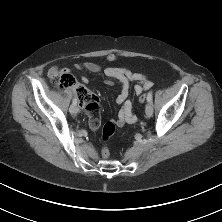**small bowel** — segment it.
<instances>
[{"label":"small bowel","mask_w":222,"mask_h":222,"mask_svg":"<svg viewBox=\"0 0 222 222\" xmlns=\"http://www.w3.org/2000/svg\"><path fill=\"white\" fill-rule=\"evenodd\" d=\"M106 60L112 62L116 60V56L113 54L107 55ZM75 68L80 71H86L93 74H99L104 76L105 83L112 85L114 81H118L121 84V91L116 98L117 104L121 105L118 112V116L115 120V124L118 127H123L126 124H133L137 121L136 115L132 110V102L129 99V89L132 82H136L135 93L141 95L143 92L149 90L152 87V82L142 73H135L127 68H106L102 69L101 65L96 62H86L82 64H76ZM67 69L59 70L56 66H52L49 69V75L52 77L57 72H67ZM83 83H88V78L82 76ZM89 116V126L91 129L96 130L100 126V115L98 112H87Z\"/></svg>","instance_id":"obj_1"}]
</instances>
